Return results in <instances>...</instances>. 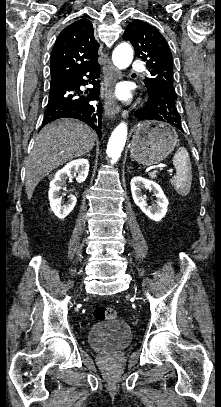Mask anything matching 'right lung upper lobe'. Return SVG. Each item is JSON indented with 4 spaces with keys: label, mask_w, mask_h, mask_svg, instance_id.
Listing matches in <instances>:
<instances>
[{
    "label": "right lung upper lobe",
    "mask_w": 221,
    "mask_h": 407,
    "mask_svg": "<svg viewBox=\"0 0 221 407\" xmlns=\"http://www.w3.org/2000/svg\"><path fill=\"white\" fill-rule=\"evenodd\" d=\"M99 44L91 21L80 19L59 34L51 54V84L58 83L97 62Z\"/></svg>",
    "instance_id": "cb5924a9"
}]
</instances>
